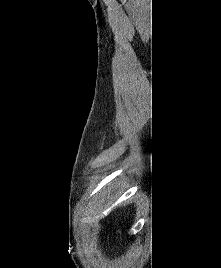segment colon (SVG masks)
<instances>
[{"mask_svg":"<svg viewBox=\"0 0 221 268\" xmlns=\"http://www.w3.org/2000/svg\"><path fill=\"white\" fill-rule=\"evenodd\" d=\"M118 233H119L120 236H123V233H122L121 229H118Z\"/></svg>","mask_w":221,"mask_h":268,"instance_id":"obj_1","label":"colon"}]
</instances>
